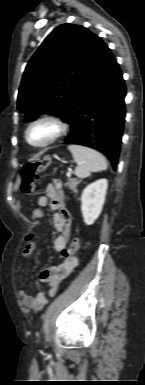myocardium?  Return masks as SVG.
I'll return each mask as SVG.
<instances>
[{"mask_svg":"<svg viewBox=\"0 0 145 385\" xmlns=\"http://www.w3.org/2000/svg\"><path fill=\"white\" fill-rule=\"evenodd\" d=\"M42 123H48L51 124L55 128L54 134L45 142L40 143V144H35L30 141L29 134L30 131L38 124ZM68 131V125L59 117L54 116V115H41L34 120H32L26 130H25V140L27 144L33 148L41 149V148H46L50 146L51 144L55 143L58 141L60 138H62Z\"/></svg>","mask_w":145,"mask_h":385,"instance_id":"1","label":"myocardium"}]
</instances>
